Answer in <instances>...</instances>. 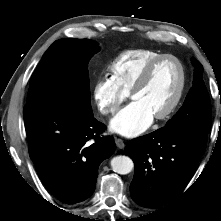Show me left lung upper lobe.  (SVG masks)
Masks as SVG:
<instances>
[{
    "label": "left lung upper lobe",
    "mask_w": 221,
    "mask_h": 221,
    "mask_svg": "<svg viewBox=\"0 0 221 221\" xmlns=\"http://www.w3.org/2000/svg\"><path fill=\"white\" fill-rule=\"evenodd\" d=\"M202 73V65L196 62L194 85L188 93L183 106L163 128H160L162 131L198 130L209 133L211 126V108Z\"/></svg>",
    "instance_id": "left-lung-upper-lobe-1"
}]
</instances>
